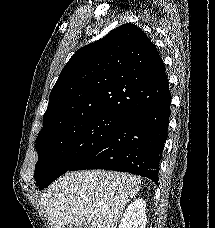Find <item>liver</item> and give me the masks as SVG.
I'll return each mask as SVG.
<instances>
[{"label": "liver", "instance_id": "6515ba94", "mask_svg": "<svg viewBox=\"0 0 215 228\" xmlns=\"http://www.w3.org/2000/svg\"><path fill=\"white\" fill-rule=\"evenodd\" d=\"M141 188L126 172H67L40 196L53 228H117L119 216Z\"/></svg>", "mask_w": 215, "mask_h": 228}]
</instances>
